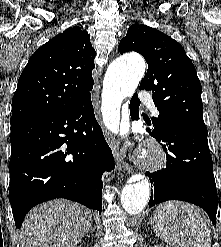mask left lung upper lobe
<instances>
[{
  "mask_svg": "<svg viewBox=\"0 0 221 247\" xmlns=\"http://www.w3.org/2000/svg\"><path fill=\"white\" fill-rule=\"evenodd\" d=\"M121 54L136 51L144 56L148 70L140 90H152L159 111L152 118L155 127L166 123L205 127L202 87L191 59L171 37L146 25L133 24L120 41Z\"/></svg>",
  "mask_w": 221,
  "mask_h": 247,
  "instance_id": "obj_1",
  "label": "left lung upper lobe"
}]
</instances>
